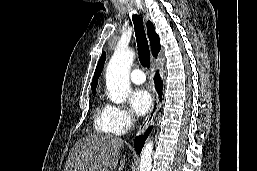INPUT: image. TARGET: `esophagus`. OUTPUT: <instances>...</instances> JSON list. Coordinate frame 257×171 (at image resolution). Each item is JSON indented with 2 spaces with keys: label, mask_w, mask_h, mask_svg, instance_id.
Segmentation results:
<instances>
[{
  "label": "esophagus",
  "mask_w": 257,
  "mask_h": 171,
  "mask_svg": "<svg viewBox=\"0 0 257 171\" xmlns=\"http://www.w3.org/2000/svg\"><path fill=\"white\" fill-rule=\"evenodd\" d=\"M155 71H156L155 68L151 67L152 75L155 74ZM158 106H159L158 96L154 90L151 109H150L148 115L146 116V118L144 119V121L142 122V124L140 125V127L138 128L137 135L143 134L145 132V130L149 127V125L153 122V120L156 116V113L158 111Z\"/></svg>",
  "instance_id": "esophagus-1"
}]
</instances>
